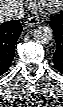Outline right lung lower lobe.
Segmentation results:
<instances>
[{"label": "right lung lower lobe", "instance_id": "obj_1", "mask_svg": "<svg viewBox=\"0 0 63 107\" xmlns=\"http://www.w3.org/2000/svg\"><path fill=\"white\" fill-rule=\"evenodd\" d=\"M21 31L19 20H11L0 25V75L5 73L12 63L15 44Z\"/></svg>", "mask_w": 63, "mask_h": 107}]
</instances>
